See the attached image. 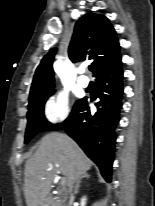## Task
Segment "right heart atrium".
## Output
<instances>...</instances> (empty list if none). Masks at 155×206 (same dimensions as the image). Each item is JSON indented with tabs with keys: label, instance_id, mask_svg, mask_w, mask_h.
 I'll return each mask as SVG.
<instances>
[{
	"label": "right heart atrium",
	"instance_id": "obj_1",
	"mask_svg": "<svg viewBox=\"0 0 155 206\" xmlns=\"http://www.w3.org/2000/svg\"><path fill=\"white\" fill-rule=\"evenodd\" d=\"M68 114L69 103L65 93L59 92L47 100L44 107V115L49 122L56 123L62 121Z\"/></svg>",
	"mask_w": 155,
	"mask_h": 206
}]
</instances>
